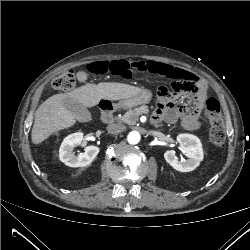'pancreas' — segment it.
<instances>
[{"label": "pancreas", "instance_id": "pancreas-1", "mask_svg": "<svg viewBox=\"0 0 250 250\" xmlns=\"http://www.w3.org/2000/svg\"><path fill=\"white\" fill-rule=\"evenodd\" d=\"M148 112H149L148 106H140L133 110H129L128 112L125 113V115H123L120 118H117L116 120L119 123L123 122L128 125H134L140 115L147 114Z\"/></svg>", "mask_w": 250, "mask_h": 250}]
</instances>
